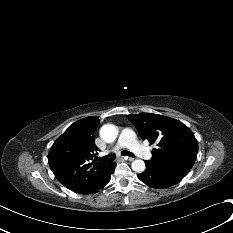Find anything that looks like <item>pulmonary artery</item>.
Here are the masks:
<instances>
[{"mask_svg": "<svg viewBox=\"0 0 233 233\" xmlns=\"http://www.w3.org/2000/svg\"><path fill=\"white\" fill-rule=\"evenodd\" d=\"M123 148L129 149L141 158L148 159L151 157L150 151L137 141L135 132L130 128L122 130L119 140L113 147L112 151L117 152Z\"/></svg>", "mask_w": 233, "mask_h": 233, "instance_id": "1", "label": "pulmonary artery"}]
</instances>
